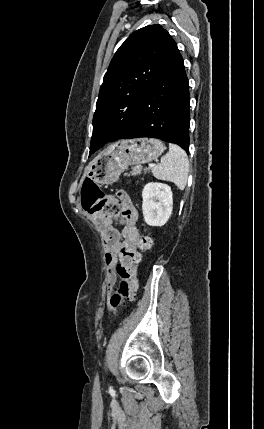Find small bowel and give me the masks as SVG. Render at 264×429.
<instances>
[{"label":"small bowel","instance_id":"obj_1","mask_svg":"<svg viewBox=\"0 0 264 429\" xmlns=\"http://www.w3.org/2000/svg\"><path fill=\"white\" fill-rule=\"evenodd\" d=\"M116 195L126 220V224L121 231L110 225L108 217L91 214L94 224L102 231L107 278L110 284H114L116 281L115 265L118 256L125 250L135 249L139 241V231L135 225L138 218L137 209L126 191L119 190Z\"/></svg>","mask_w":264,"mask_h":429}]
</instances>
